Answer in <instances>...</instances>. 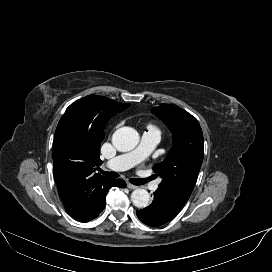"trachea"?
<instances>
[{
  "label": "trachea",
  "instance_id": "trachea-1",
  "mask_svg": "<svg viewBox=\"0 0 272 272\" xmlns=\"http://www.w3.org/2000/svg\"><path fill=\"white\" fill-rule=\"evenodd\" d=\"M100 173L105 175V176H109V177H112V178H117L119 177V174L117 172H108V171H103L102 169H99ZM153 177H149V178H132L130 179V182L133 184V185H143V184H146L148 181L152 180Z\"/></svg>",
  "mask_w": 272,
  "mask_h": 272
}]
</instances>
